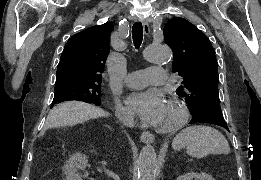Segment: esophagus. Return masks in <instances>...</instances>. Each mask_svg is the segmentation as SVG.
Returning <instances> with one entry per match:
<instances>
[{"label": "esophagus", "instance_id": "obj_1", "mask_svg": "<svg viewBox=\"0 0 261 180\" xmlns=\"http://www.w3.org/2000/svg\"><path fill=\"white\" fill-rule=\"evenodd\" d=\"M142 23H143L144 33L148 35L150 33L149 25L146 20H143ZM140 140L143 143H153L155 140V136L152 133L145 131L141 133Z\"/></svg>", "mask_w": 261, "mask_h": 180}]
</instances>
